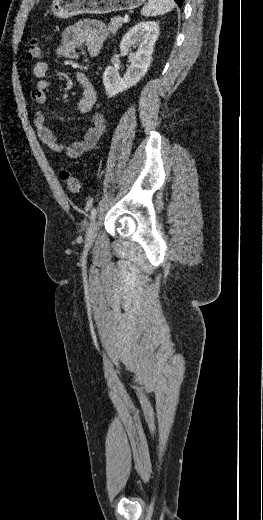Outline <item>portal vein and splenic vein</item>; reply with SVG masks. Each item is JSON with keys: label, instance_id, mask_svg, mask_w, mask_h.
I'll return each mask as SVG.
<instances>
[{"label": "portal vein and splenic vein", "instance_id": "obj_1", "mask_svg": "<svg viewBox=\"0 0 263 520\" xmlns=\"http://www.w3.org/2000/svg\"><path fill=\"white\" fill-rule=\"evenodd\" d=\"M128 20H129V16L125 15L124 18H123V22H128Z\"/></svg>", "mask_w": 263, "mask_h": 520}]
</instances>
